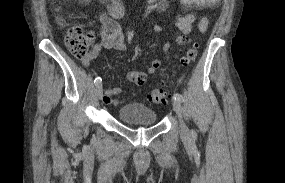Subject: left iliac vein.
<instances>
[{
  "instance_id": "left-iliac-vein-1",
  "label": "left iliac vein",
  "mask_w": 285,
  "mask_h": 183,
  "mask_svg": "<svg viewBox=\"0 0 285 183\" xmlns=\"http://www.w3.org/2000/svg\"><path fill=\"white\" fill-rule=\"evenodd\" d=\"M173 110L177 114V116L179 118V121H180V135L182 137L188 136L189 130H188L186 124L183 121L181 103L177 99H174V101H173Z\"/></svg>"
}]
</instances>
